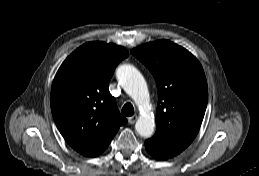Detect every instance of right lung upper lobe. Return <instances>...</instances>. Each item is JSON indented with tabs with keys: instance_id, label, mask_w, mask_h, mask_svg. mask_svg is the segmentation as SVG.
Segmentation results:
<instances>
[{
	"instance_id": "right-lung-upper-lobe-1",
	"label": "right lung upper lobe",
	"mask_w": 259,
	"mask_h": 176,
	"mask_svg": "<svg viewBox=\"0 0 259 176\" xmlns=\"http://www.w3.org/2000/svg\"><path fill=\"white\" fill-rule=\"evenodd\" d=\"M125 48L100 41L77 48L60 66L51 89V111L66 140L77 152L96 157L127 120L108 89Z\"/></svg>"
}]
</instances>
